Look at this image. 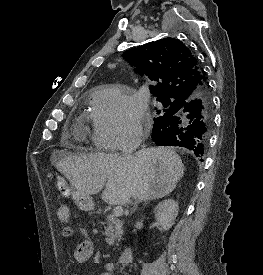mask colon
Segmentation results:
<instances>
[{
	"instance_id": "5ec220e1",
	"label": "colon",
	"mask_w": 263,
	"mask_h": 275,
	"mask_svg": "<svg viewBox=\"0 0 263 275\" xmlns=\"http://www.w3.org/2000/svg\"><path fill=\"white\" fill-rule=\"evenodd\" d=\"M57 217L60 222L66 223L70 220V209L66 205H61L57 210Z\"/></svg>"
}]
</instances>
